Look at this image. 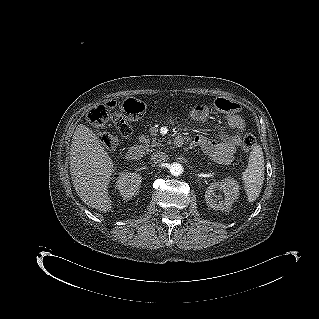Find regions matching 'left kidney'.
<instances>
[{"instance_id": "1", "label": "left kidney", "mask_w": 319, "mask_h": 319, "mask_svg": "<svg viewBox=\"0 0 319 319\" xmlns=\"http://www.w3.org/2000/svg\"><path fill=\"white\" fill-rule=\"evenodd\" d=\"M239 196V185L231 178L212 183L205 192V201L213 210L228 211Z\"/></svg>"}]
</instances>
